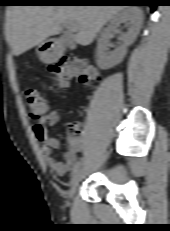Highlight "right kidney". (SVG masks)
<instances>
[{"label": "right kidney", "mask_w": 170, "mask_h": 231, "mask_svg": "<svg viewBox=\"0 0 170 231\" xmlns=\"http://www.w3.org/2000/svg\"><path fill=\"white\" fill-rule=\"evenodd\" d=\"M143 22V13L138 7H127L117 13L98 39L96 62L101 69H109L119 64L127 53V48L136 40ZM121 23H127L128 31L120 37L122 44L113 52H108L109 39Z\"/></svg>", "instance_id": "obj_1"}]
</instances>
